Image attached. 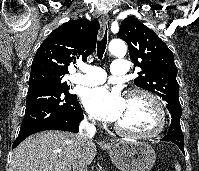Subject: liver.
Wrapping results in <instances>:
<instances>
[{"instance_id":"1","label":"liver","mask_w":199,"mask_h":171,"mask_svg":"<svg viewBox=\"0 0 199 171\" xmlns=\"http://www.w3.org/2000/svg\"><path fill=\"white\" fill-rule=\"evenodd\" d=\"M77 150V135L63 131H44L25 139L12 153L10 171H71ZM96 145L85 146V160L90 164Z\"/></svg>"}]
</instances>
